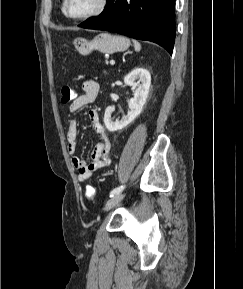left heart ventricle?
Returning a JSON list of instances; mask_svg holds the SVG:
<instances>
[{
  "mask_svg": "<svg viewBox=\"0 0 243 289\" xmlns=\"http://www.w3.org/2000/svg\"><path fill=\"white\" fill-rule=\"evenodd\" d=\"M100 0H69V11L74 16H81L94 11Z\"/></svg>",
  "mask_w": 243,
  "mask_h": 289,
  "instance_id": "b2bd125f",
  "label": "left heart ventricle"
}]
</instances>
